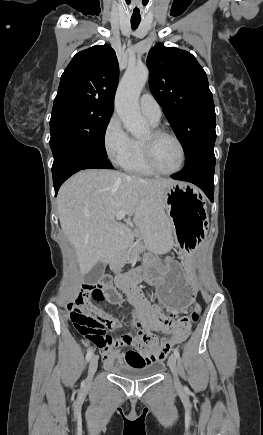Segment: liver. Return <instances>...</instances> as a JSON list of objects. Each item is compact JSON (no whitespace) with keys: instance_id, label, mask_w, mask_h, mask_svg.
I'll return each instance as SVG.
<instances>
[{"instance_id":"obj_1","label":"liver","mask_w":263,"mask_h":435,"mask_svg":"<svg viewBox=\"0 0 263 435\" xmlns=\"http://www.w3.org/2000/svg\"><path fill=\"white\" fill-rule=\"evenodd\" d=\"M173 179H146L112 170H83L60 188L57 208L61 228L74 246L81 274L99 261L115 262L132 243L133 234L117 221L121 211L133 221L155 254L168 253L173 230L165 213L164 191Z\"/></svg>"}]
</instances>
